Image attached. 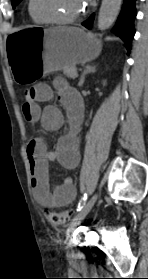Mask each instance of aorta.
<instances>
[{
  "label": "aorta",
  "instance_id": "aorta-1",
  "mask_svg": "<svg viewBox=\"0 0 148 279\" xmlns=\"http://www.w3.org/2000/svg\"><path fill=\"white\" fill-rule=\"evenodd\" d=\"M122 0H102L97 26L100 30L109 28L117 18Z\"/></svg>",
  "mask_w": 148,
  "mask_h": 279
}]
</instances>
